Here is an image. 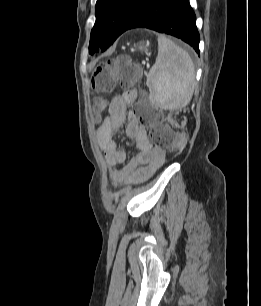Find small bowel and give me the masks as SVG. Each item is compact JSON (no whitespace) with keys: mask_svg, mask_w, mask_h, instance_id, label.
I'll return each mask as SVG.
<instances>
[{"mask_svg":"<svg viewBox=\"0 0 261 306\" xmlns=\"http://www.w3.org/2000/svg\"><path fill=\"white\" fill-rule=\"evenodd\" d=\"M135 100V91L123 92L114 97L108 106V118L97 133V142L107 163L111 166L125 163L114 172V176L117 181L127 184L138 181L147 168L158 166L165 159V151L152 145L146 128L139 123L136 114L128 110ZM124 124L126 135L134 141L138 149V153L127 162L126 149L117 147L115 142L116 132Z\"/></svg>","mask_w":261,"mask_h":306,"instance_id":"small-bowel-1","label":"small bowel"}]
</instances>
